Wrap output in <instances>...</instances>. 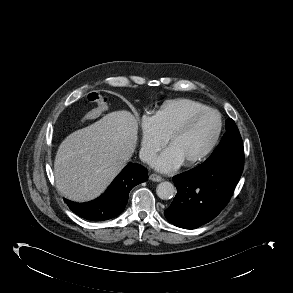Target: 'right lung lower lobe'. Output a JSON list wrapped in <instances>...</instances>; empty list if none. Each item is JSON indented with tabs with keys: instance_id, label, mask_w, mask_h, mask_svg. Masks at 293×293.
<instances>
[{
	"instance_id": "right-lung-lower-lobe-1",
	"label": "right lung lower lobe",
	"mask_w": 293,
	"mask_h": 293,
	"mask_svg": "<svg viewBox=\"0 0 293 293\" xmlns=\"http://www.w3.org/2000/svg\"><path fill=\"white\" fill-rule=\"evenodd\" d=\"M148 179V171L139 164H128L114 179L108 189L99 198L74 203L65 199L72 212L91 221H103L120 214L127 202L130 190Z\"/></svg>"
}]
</instances>
